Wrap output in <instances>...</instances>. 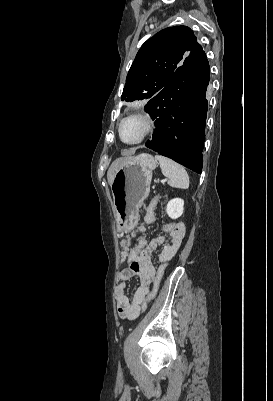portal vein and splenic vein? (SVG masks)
I'll return each mask as SVG.
<instances>
[{"label":"portal vein and splenic vein","instance_id":"obj_1","mask_svg":"<svg viewBox=\"0 0 273 401\" xmlns=\"http://www.w3.org/2000/svg\"><path fill=\"white\" fill-rule=\"evenodd\" d=\"M165 180H167V178H163V180H161V182H165Z\"/></svg>","mask_w":273,"mask_h":401}]
</instances>
